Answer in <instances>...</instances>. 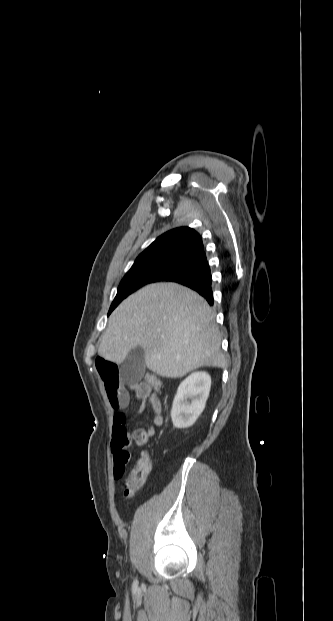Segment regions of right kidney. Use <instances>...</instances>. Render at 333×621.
<instances>
[{
	"label": "right kidney",
	"mask_w": 333,
	"mask_h": 621,
	"mask_svg": "<svg viewBox=\"0 0 333 621\" xmlns=\"http://www.w3.org/2000/svg\"><path fill=\"white\" fill-rule=\"evenodd\" d=\"M211 387V377L206 372H195L178 387L173 400L171 418L176 428L194 424L205 408ZM191 398V403L187 399Z\"/></svg>",
	"instance_id": "obj_1"
}]
</instances>
